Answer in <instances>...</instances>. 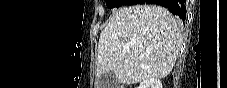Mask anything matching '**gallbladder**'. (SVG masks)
Instances as JSON below:
<instances>
[{
    "instance_id": "gallbladder-1",
    "label": "gallbladder",
    "mask_w": 227,
    "mask_h": 88,
    "mask_svg": "<svg viewBox=\"0 0 227 88\" xmlns=\"http://www.w3.org/2000/svg\"><path fill=\"white\" fill-rule=\"evenodd\" d=\"M100 88H117L119 85L118 79L112 71L101 74L99 78Z\"/></svg>"
}]
</instances>
